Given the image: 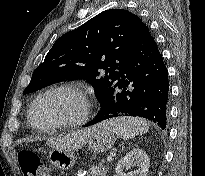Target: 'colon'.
I'll list each match as a JSON object with an SVG mask.
<instances>
[{"instance_id":"obj_1","label":"colon","mask_w":205,"mask_h":176,"mask_svg":"<svg viewBox=\"0 0 205 176\" xmlns=\"http://www.w3.org/2000/svg\"><path fill=\"white\" fill-rule=\"evenodd\" d=\"M17 162L23 176H47L45 164L32 150L18 151Z\"/></svg>"}]
</instances>
